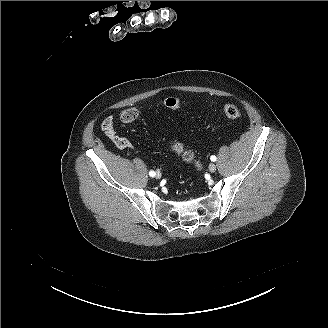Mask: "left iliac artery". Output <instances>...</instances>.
I'll return each instance as SVG.
<instances>
[{
    "label": "left iliac artery",
    "instance_id": "left-iliac-artery-1",
    "mask_svg": "<svg viewBox=\"0 0 328 328\" xmlns=\"http://www.w3.org/2000/svg\"><path fill=\"white\" fill-rule=\"evenodd\" d=\"M210 159H211V161L214 162V161H216V156L212 155Z\"/></svg>",
    "mask_w": 328,
    "mask_h": 328
}]
</instances>
